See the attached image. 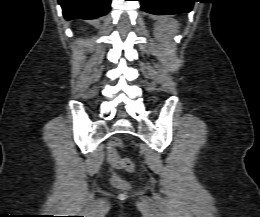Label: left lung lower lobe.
I'll return each mask as SVG.
<instances>
[{"label": "left lung lower lobe", "mask_w": 260, "mask_h": 217, "mask_svg": "<svg viewBox=\"0 0 260 217\" xmlns=\"http://www.w3.org/2000/svg\"><path fill=\"white\" fill-rule=\"evenodd\" d=\"M141 9L155 15H172L188 13L193 7L195 0H138Z\"/></svg>", "instance_id": "0a47b994"}]
</instances>
